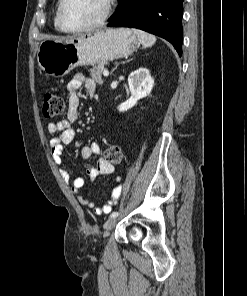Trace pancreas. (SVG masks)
I'll return each instance as SVG.
<instances>
[{
	"instance_id": "1",
	"label": "pancreas",
	"mask_w": 247,
	"mask_h": 296,
	"mask_svg": "<svg viewBox=\"0 0 247 296\" xmlns=\"http://www.w3.org/2000/svg\"><path fill=\"white\" fill-rule=\"evenodd\" d=\"M106 65V63H99L98 65L96 66H93L89 72H90V75L92 77V79H94L97 83H102L103 80H102V73L104 71V66Z\"/></svg>"
}]
</instances>
